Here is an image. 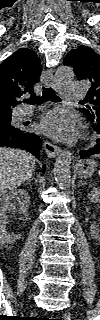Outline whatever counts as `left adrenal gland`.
I'll list each match as a JSON object with an SVG mask.
<instances>
[{"instance_id":"1","label":"left adrenal gland","mask_w":100,"mask_h":320,"mask_svg":"<svg viewBox=\"0 0 100 320\" xmlns=\"http://www.w3.org/2000/svg\"><path fill=\"white\" fill-rule=\"evenodd\" d=\"M85 184H87V183H82V181H79L78 186L81 187L82 185H85Z\"/></svg>"}]
</instances>
